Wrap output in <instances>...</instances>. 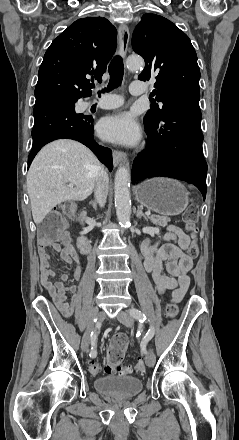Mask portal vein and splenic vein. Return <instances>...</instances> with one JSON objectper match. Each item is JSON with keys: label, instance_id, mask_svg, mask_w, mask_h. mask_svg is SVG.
Listing matches in <instances>:
<instances>
[{"label": "portal vein and splenic vein", "instance_id": "18ae733b", "mask_svg": "<svg viewBox=\"0 0 239 440\" xmlns=\"http://www.w3.org/2000/svg\"><path fill=\"white\" fill-rule=\"evenodd\" d=\"M69 188H73V184H69ZM147 216H150V212H146Z\"/></svg>", "mask_w": 239, "mask_h": 440}]
</instances>
